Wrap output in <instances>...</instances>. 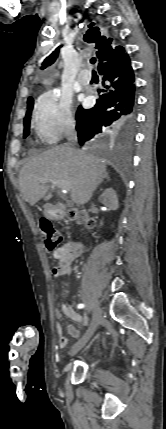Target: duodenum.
Here are the masks:
<instances>
[{"label":"duodenum","mask_w":166,"mask_h":429,"mask_svg":"<svg viewBox=\"0 0 166 429\" xmlns=\"http://www.w3.org/2000/svg\"><path fill=\"white\" fill-rule=\"evenodd\" d=\"M54 209H55V213H56L57 217H62L65 214V212H66V207L62 203L56 204L54 206ZM85 218H86V216H85Z\"/></svg>","instance_id":"1"}]
</instances>
